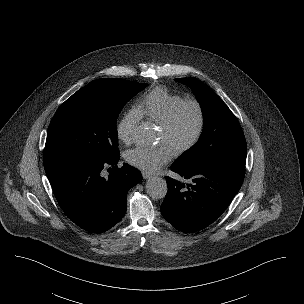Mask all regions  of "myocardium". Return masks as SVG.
<instances>
[{"instance_id":"obj_1","label":"myocardium","mask_w":304,"mask_h":304,"mask_svg":"<svg viewBox=\"0 0 304 304\" xmlns=\"http://www.w3.org/2000/svg\"><path fill=\"white\" fill-rule=\"evenodd\" d=\"M186 107H192L197 116V124L193 135L189 140L180 144L174 148L176 154H182L193 147H195L200 141L206 125V115L202 104L195 99H183L178 104H176L170 112L167 114L165 119L159 124L160 129H162L165 133H170L181 113V111Z\"/></svg>"}]
</instances>
